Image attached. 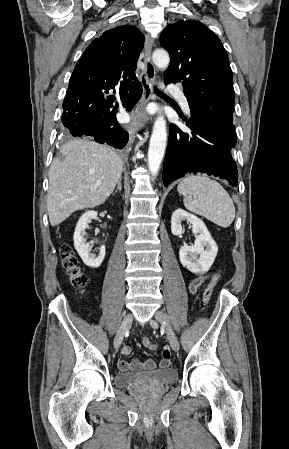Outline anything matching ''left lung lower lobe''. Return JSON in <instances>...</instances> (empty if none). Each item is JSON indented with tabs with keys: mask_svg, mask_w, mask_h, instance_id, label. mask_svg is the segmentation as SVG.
<instances>
[{
	"mask_svg": "<svg viewBox=\"0 0 289 449\" xmlns=\"http://www.w3.org/2000/svg\"><path fill=\"white\" fill-rule=\"evenodd\" d=\"M189 107L191 119H183L191 132L186 133L174 124L170 126L162 175L164 185L187 173H206L237 186L238 171L232 156L237 139L235 126L190 104Z\"/></svg>",
	"mask_w": 289,
	"mask_h": 449,
	"instance_id": "left-lung-lower-lobe-1",
	"label": "left lung lower lobe"
}]
</instances>
